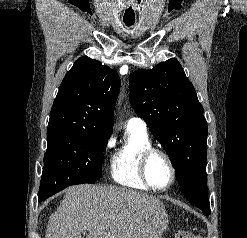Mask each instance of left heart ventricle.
Instances as JSON below:
<instances>
[{
  "label": "left heart ventricle",
  "instance_id": "obj_1",
  "mask_svg": "<svg viewBox=\"0 0 247 238\" xmlns=\"http://www.w3.org/2000/svg\"><path fill=\"white\" fill-rule=\"evenodd\" d=\"M147 174L150 182L156 187L166 186L171 179L170 167L161 155L155 154L149 160Z\"/></svg>",
  "mask_w": 247,
  "mask_h": 238
}]
</instances>
